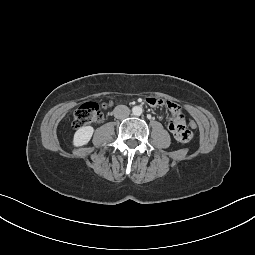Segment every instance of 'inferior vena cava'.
Masks as SVG:
<instances>
[{"label": "inferior vena cava", "instance_id": "602c4592", "mask_svg": "<svg viewBox=\"0 0 255 255\" xmlns=\"http://www.w3.org/2000/svg\"><path fill=\"white\" fill-rule=\"evenodd\" d=\"M114 117L117 119H123L129 116L130 109L125 105H118L113 110Z\"/></svg>", "mask_w": 255, "mask_h": 255}]
</instances>
